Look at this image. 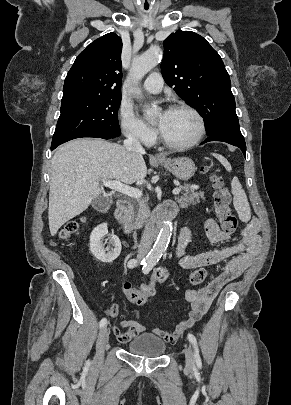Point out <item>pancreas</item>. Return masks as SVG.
I'll use <instances>...</instances> for the list:
<instances>
[{
  "label": "pancreas",
  "instance_id": "1",
  "mask_svg": "<svg viewBox=\"0 0 291 405\" xmlns=\"http://www.w3.org/2000/svg\"><path fill=\"white\" fill-rule=\"evenodd\" d=\"M185 193L176 198L180 207L187 208L189 205H195L200 202V199L205 200L203 192H194L188 187L183 188ZM149 216V208L143 201L138 202L136 208L130 213L131 224L134 228H141L145 219Z\"/></svg>",
  "mask_w": 291,
  "mask_h": 405
}]
</instances>
